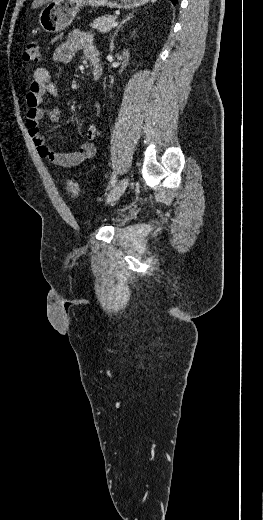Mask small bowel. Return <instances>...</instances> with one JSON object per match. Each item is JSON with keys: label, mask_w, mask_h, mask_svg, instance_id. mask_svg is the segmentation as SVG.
<instances>
[{"label": "small bowel", "mask_w": 263, "mask_h": 520, "mask_svg": "<svg viewBox=\"0 0 263 520\" xmlns=\"http://www.w3.org/2000/svg\"><path fill=\"white\" fill-rule=\"evenodd\" d=\"M80 49L84 50L87 57L92 52L97 51L90 34L73 31L66 41L55 49L53 58L57 63L66 64L73 60ZM57 93V87L51 79L50 72L44 67L36 68L29 91L26 94V126L40 157L47 159L56 166L73 168L94 157L96 148L91 141H88L72 152L52 149L46 137L41 133L40 122L46 116L52 123L58 121V109L43 105L44 97L47 94L56 96ZM86 135L89 140H93L97 135V126L95 124L88 125Z\"/></svg>", "instance_id": "c3829d8e"}]
</instances>
